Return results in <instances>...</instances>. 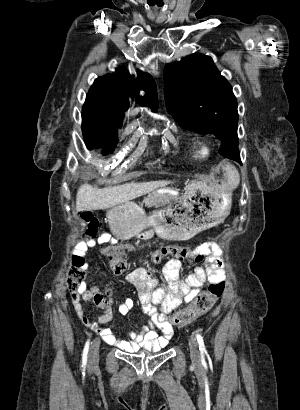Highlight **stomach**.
<instances>
[{"label": "stomach", "instance_id": "stomach-1", "mask_svg": "<svg viewBox=\"0 0 300 410\" xmlns=\"http://www.w3.org/2000/svg\"><path fill=\"white\" fill-rule=\"evenodd\" d=\"M157 197L158 192L154 191L147 199L153 202ZM230 209L231 192L226 184L195 180L176 202L148 215L141 206L127 201L111 207L106 217L111 233L117 239L127 240L153 227L162 239L182 241L220 224Z\"/></svg>", "mask_w": 300, "mask_h": 410}]
</instances>
